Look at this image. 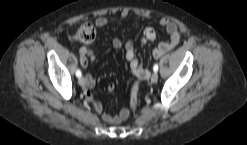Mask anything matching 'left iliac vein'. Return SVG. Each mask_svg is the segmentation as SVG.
Here are the masks:
<instances>
[{
	"label": "left iliac vein",
	"mask_w": 247,
	"mask_h": 145,
	"mask_svg": "<svg viewBox=\"0 0 247 145\" xmlns=\"http://www.w3.org/2000/svg\"><path fill=\"white\" fill-rule=\"evenodd\" d=\"M158 80V73L157 72H154L152 75H151V83H156Z\"/></svg>",
	"instance_id": "1"
}]
</instances>
